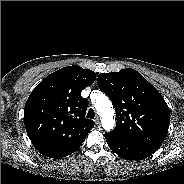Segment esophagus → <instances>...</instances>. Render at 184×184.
<instances>
[{
  "label": "esophagus",
  "mask_w": 184,
  "mask_h": 184,
  "mask_svg": "<svg viewBox=\"0 0 184 184\" xmlns=\"http://www.w3.org/2000/svg\"><path fill=\"white\" fill-rule=\"evenodd\" d=\"M95 123H96L97 125H100V118H99V116H96Z\"/></svg>",
  "instance_id": "34e87169"
}]
</instances>
